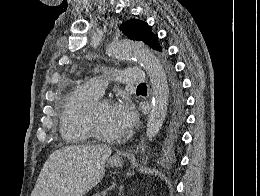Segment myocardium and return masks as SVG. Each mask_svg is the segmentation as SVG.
<instances>
[{
    "mask_svg": "<svg viewBox=\"0 0 260 196\" xmlns=\"http://www.w3.org/2000/svg\"><path fill=\"white\" fill-rule=\"evenodd\" d=\"M111 105V102L107 99H99L97 100L95 103L92 104L87 119L85 121V125L87 127V129L96 137H99L100 139H103L107 142H112L115 140H118L119 138L116 137L113 134L107 133L103 130H101L97 124H96V120H95V115L97 113V111L103 107V106H108ZM78 191H82V190H78Z\"/></svg>",
    "mask_w": 260,
    "mask_h": 196,
    "instance_id": "f54148a6",
    "label": "myocardium"
}]
</instances>
